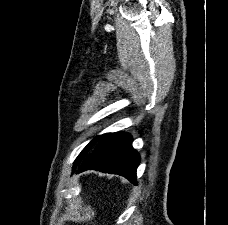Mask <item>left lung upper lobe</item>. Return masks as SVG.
<instances>
[{
  "label": "left lung upper lobe",
  "instance_id": "1",
  "mask_svg": "<svg viewBox=\"0 0 228 225\" xmlns=\"http://www.w3.org/2000/svg\"><path fill=\"white\" fill-rule=\"evenodd\" d=\"M102 136V135H101ZM101 136H97L95 137L83 150L82 152L79 154V156L77 157V159L75 160L74 166H73V170L75 169V167L79 164L80 161H82L87 155H89L91 153V151L93 150L94 146L96 145V143L99 141Z\"/></svg>",
  "mask_w": 228,
  "mask_h": 225
}]
</instances>
